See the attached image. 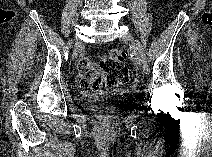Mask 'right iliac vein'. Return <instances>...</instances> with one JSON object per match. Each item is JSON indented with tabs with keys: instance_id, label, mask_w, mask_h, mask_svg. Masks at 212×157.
I'll list each match as a JSON object with an SVG mask.
<instances>
[{
	"instance_id": "right-iliac-vein-1",
	"label": "right iliac vein",
	"mask_w": 212,
	"mask_h": 157,
	"mask_svg": "<svg viewBox=\"0 0 212 157\" xmlns=\"http://www.w3.org/2000/svg\"><path fill=\"white\" fill-rule=\"evenodd\" d=\"M80 49H81V42L78 39H76L75 40L74 52H73V58L74 59L77 57Z\"/></svg>"
}]
</instances>
